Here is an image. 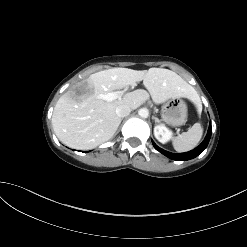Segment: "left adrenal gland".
Instances as JSON below:
<instances>
[{"label":"left adrenal gland","mask_w":247,"mask_h":247,"mask_svg":"<svg viewBox=\"0 0 247 247\" xmlns=\"http://www.w3.org/2000/svg\"><path fill=\"white\" fill-rule=\"evenodd\" d=\"M152 118L155 120V122L160 123V120L157 117L153 116Z\"/></svg>","instance_id":"obj_1"}]
</instances>
